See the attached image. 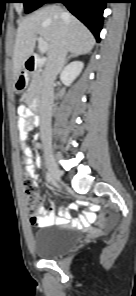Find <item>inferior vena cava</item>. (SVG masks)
I'll list each match as a JSON object with an SVG mask.
<instances>
[{
    "instance_id": "inferior-vena-cava-1",
    "label": "inferior vena cava",
    "mask_w": 136,
    "mask_h": 296,
    "mask_svg": "<svg viewBox=\"0 0 136 296\" xmlns=\"http://www.w3.org/2000/svg\"><path fill=\"white\" fill-rule=\"evenodd\" d=\"M68 12L63 13V17H67ZM68 28L64 25L61 29L60 37L56 47L48 57L43 75V86L40 98V132L44 144H51V117L54 102L53 83L65 65L68 52L67 47Z\"/></svg>"
}]
</instances>
